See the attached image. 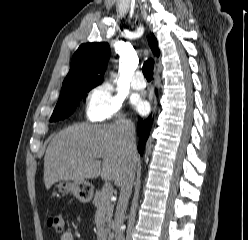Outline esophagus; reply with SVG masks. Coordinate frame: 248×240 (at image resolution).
<instances>
[{"instance_id":"1","label":"esophagus","mask_w":248,"mask_h":240,"mask_svg":"<svg viewBox=\"0 0 248 240\" xmlns=\"http://www.w3.org/2000/svg\"><path fill=\"white\" fill-rule=\"evenodd\" d=\"M156 100L154 99V101H153V111H155V109H156Z\"/></svg>"}]
</instances>
